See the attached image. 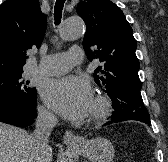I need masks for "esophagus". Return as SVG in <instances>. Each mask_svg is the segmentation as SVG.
<instances>
[{
    "label": "esophagus",
    "instance_id": "obj_1",
    "mask_svg": "<svg viewBox=\"0 0 168 162\" xmlns=\"http://www.w3.org/2000/svg\"><path fill=\"white\" fill-rule=\"evenodd\" d=\"M64 143L67 145H77L82 142L81 138L75 136L73 132L67 130L63 136Z\"/></svg>",
    "mask_w": 168,
    "mask_h": 162
}]
</instances>
